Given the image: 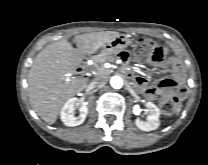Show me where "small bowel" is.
<instances>
[{"instance_id": "c3829d8e", "label": "small bowel", "mask_w": 208, "mask_h": 165, "mask_svg": "<svg viewBox=\"0 0 208 165\" xmlns=\"http://www.w3.org/2000/svg\"><path fill=\"white\" fill-rule=\"evenodd\" d=\"M158 73L154 82V87L147 85V81L142 76L135 77L137 86L143 89L149 99H155L159 96L169 97L176 92L183 91L184 86L181 82V64L174 57H165L158 64Z\"/></svg>"}]
</instances>
